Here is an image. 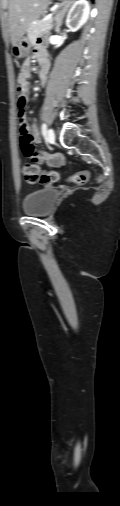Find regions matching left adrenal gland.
Returning <instances> with one entry per match:
<instances>
[{
    "label": "left adrenal gland",
    "mask_w": 120,
    "mask_h": 506,
    "mask_svg": "<svg viewBox=\"0 0 120 506\" xmlns=\"http://www.w3.org/2000/svg\"><path fill=\"white\" fill-rule=\"evenodd\" d=\"M73 2H69L64 8L62 11H60L56 16H55V32L56 33H60V27L62 25V21H63V17L66 13V11L68 10V8L72 5Z\"/></svg>",
    "instance_id": "left-adrenal-gland-1"
}]
</instances>
